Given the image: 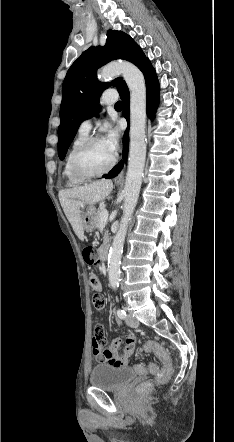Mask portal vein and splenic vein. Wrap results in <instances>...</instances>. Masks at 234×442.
Wrapping results in <instances>:
<instances>
[{"instance_id": "portal-vein-and-splenic-vein-1", "label": "portal vein and splenic vein", "mask_w": 234, "mask_h": 442, "mask_svg": "<svg viewBox=\"0 0 234 442\" xmlns=\"http://www.w3.org/2000/svg\"><path fill=\"white\" fill-rule=\"evenodd\" d=\"M108 216H109V213H108L107 210L102 211L101 214H100V223L101 224L106 223L107 219H108Z\"/></svg>"}]
</instances>
